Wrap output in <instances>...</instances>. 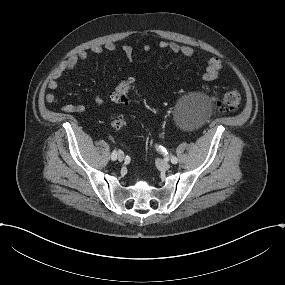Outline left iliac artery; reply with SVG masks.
<instances>
[{"label":"left iliac artery","mask_w":285,"mask_h":285,"mask_svg":"<svg viewBox=\"0 0 285 285\" xmlns=\"http://www.w3.org/2000/svg\"><path fill=\"white\" fill-rule=\"evenodd\" d=\"M158 150H159L160 152H162L164 155H167V154H168L167 150H166L163 146H161V145L158 146ZM170 160H171V162H172L173 164H177V163H178V159H177L175 156H171Z\"/></svg>","instance_id":"1"}]
</instances>
